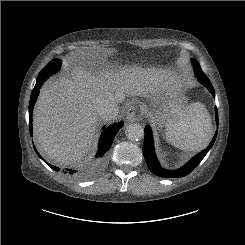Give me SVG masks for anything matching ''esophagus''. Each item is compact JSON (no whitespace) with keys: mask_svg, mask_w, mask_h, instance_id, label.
Wrapping results in <instances>:
<instances>
[{"mask_svg":"<svg viewBox=\"0 0 245 245\" xmlns=\"http://www.w3.org/2000/svg\"><path fill=\"white\" fill-rule=\"evenodd\" d=\"M140 115L138 113L137 106L132 105L126 112V119L128 122H136L139 119Z\"/></svg>","mask_w":245,"mask_h":245,"instance_id":"1","label":"esophagus"}]
</instances>
